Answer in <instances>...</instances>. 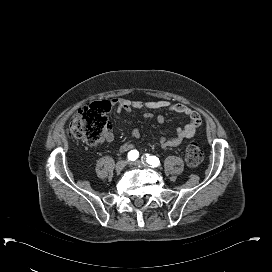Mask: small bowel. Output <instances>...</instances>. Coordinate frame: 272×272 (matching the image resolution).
I'll list each match as a JSON object with an SVG mask.
<instances>
[{
  "mask_svg": "<svg viewBox=\"0 0 272 272\" xmlns=\"http://www.w3.org/2000/svg\"><path fill=\"white\" fill-rule=\"evenodd\" d=\"M112 103L116 106L117 112H126L130 113L134 109H157V110H166L169 112L177 113L182 116H185L189 119V122L177 130V134L170 138L162 137L159 141V144L162 148L166 147H177L180 146L183 141L187 138H190L194 135L196 129L200 125L201 119L198 113L193 111L186 105L176 104L173 105L168 101H152V102H142V101H130L125 98H114ZM143 117L145 119H150L152 114L148 111L144 112ZM159 121L163 120L162 116L158 117ZM140 137V131L134 129L132 132V139H137ZM114 138L113 132L108 129L103 135V140L105 142H111ZM134 143L132 140H129L123 143L120 147L121 152H127L134 149Z\"/></svg>",
  "mask_w": 272,
  "mask_h": 272,
  "instance_id": "obj_1",
  "label": "small bowel"
}]
</instances>
